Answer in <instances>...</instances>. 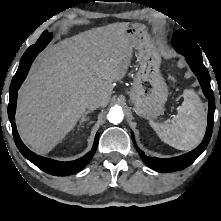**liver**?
<instances>
[{
  "mask_svg": "<svg viewBox=\"0 0 221 221\" xmlns=\"http://www.w3.org/2000/svg\"><path fill=\"white\" fill-rule=\"evenodd\" d=\"M129 23L94 28L46 48L18 94L16 124L23 141L50 152L83 117L86 102L108 105L113 82L127 72L134 48Z\"/></svg>",
  "mask_w": 221,
  "mask_h": 221,
  "instance_id": "obj_1",
  "label": "liver"
}]
</instances>
